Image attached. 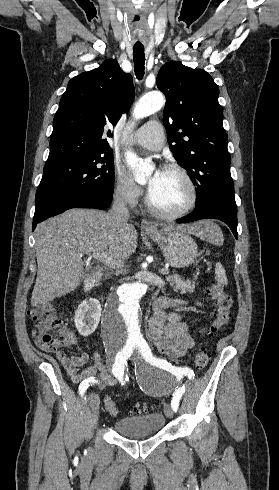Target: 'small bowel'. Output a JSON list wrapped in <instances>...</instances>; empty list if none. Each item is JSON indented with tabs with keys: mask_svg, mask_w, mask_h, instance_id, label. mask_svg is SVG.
I'll use <instances>...</instances> for the list:
<instances>
[{
	"mask_svg": "<svg viewBox=\"0 0 279 490\" xmlns=\"http://www.w3.org/2000/svg\"><path fill=\"white\" fill-rule=\"evenodd\" d=\"M182 304L183 302L178 299L160 297L154 302L149 316L147 336L157 350L169 358L184 356L194 345L188 332V324L181 321L177 312H166V309L176 308ZM37 336L38 328H35L32 331V337L37 339ZM71 345L79 349L75 336H71ZM55 356L72 382L81 388L86 389L99 382L98 388L103 390L114 384V379L102 363L100 351L93 352L92 364L81 372L78 371V368L86 365L90 360L88 353L80 352L77 356L69 357L66 353L58 351Z\"/></svg>",
	"mask_w": 279,
	"mask_h": 490,
	"instance_id": "1",
	"label": "small bowel"
}]
</instances>
